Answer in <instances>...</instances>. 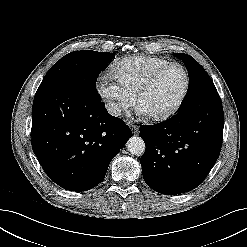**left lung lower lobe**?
<instances>
[{
    "label": "left lung lower lobe",
    "instance_id": "1",
    "mask_svg": "<svg viewBox=\"0 0 247 247\" xmlns=\"http://www.w3.org/2000/svg\"><path fill=\"white\" fill-rule=\"evenodd\" d=\"M191 105L170 119L142 125L146 143L140 162L143 178L153 190L181 194L199 186L216 163L221 149L224 114L211 82L201 84Z\"/></svg>",
    "mask_w": 247,
    "mask_h": 247
}]
</instances>
